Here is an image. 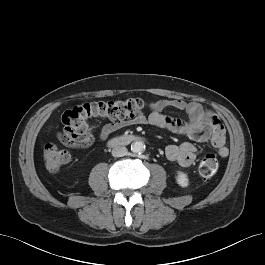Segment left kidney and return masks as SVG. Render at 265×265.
<instances>
[{"mask_svg": "<svg viewBox=\"0 0 265 265\" xmlns=\"http://www.w3.org/2000/svg\"><path fill=\"white\" fill-rule=\"evenodd\" d=\"M176 181L182 187H187L189 182L187 174L181 171L177 173Z\"/></svg>", "mask_w": 265, "mask_h": 265, "instance_id": "left-kidney-1", "label": "left kidney"}]
</instances>
